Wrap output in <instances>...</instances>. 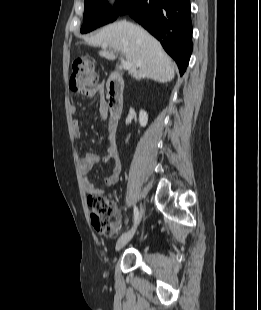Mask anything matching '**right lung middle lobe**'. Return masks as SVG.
Instances as JSON below:
<instances>
[{"mask_svg":"<svg viewBox=\"0 0 261 310\" xmlns=\"http://www.w3.org/2000/svg\"><path fill=\"white\" fill-rule=\"evenodd\" d=\"M128 1L119 0L113 9L107 0H84L85 10L81 33L90 32L99 26L113 22Z\"/></svg>","mask_w":261,"mask_h":310,"instance_id":"obj_1","label":"right lung middle lobe"}]
</instances>
